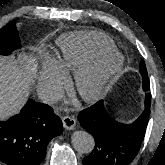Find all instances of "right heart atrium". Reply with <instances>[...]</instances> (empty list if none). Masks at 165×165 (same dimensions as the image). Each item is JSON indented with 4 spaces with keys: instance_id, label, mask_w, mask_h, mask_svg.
<instances>
[{
    "instance_id": "obj_1",
    "label": "right heart atrium",
    "mask_w": 165,
    "mask_h": 165,
    "mask_svg": "<svg viewBox=\"0 0 165 165\" xmlns=\"http://www.w3.org/2000/svg\"><path fill=\"white\" fill-rule=\"evenodd\" d=\"M66 82L65 72L56 63H49L39 74L38 87L45 96L51 97L56 95Z\"/></svg>"
}]
</instances>
